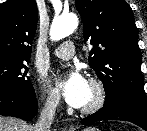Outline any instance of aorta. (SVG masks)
<instances>
[{
  "instance_id": "obj_1",
  "label": "aorta",
  "mask_w": 147,
  "mask_h": 131,
  "mask_svg": "<svg viewBox=\"0 0 147 131\" xmlns=\"http://www.w3.org/2000/svg\"><path fill=\"white\" fill-rule=\"evenodd\" d=\"M77 26L78 18L75 14L61 15L52 22L50 38L54 41L63 39L72 34Z\"/></svg>"
}]
</instances>
